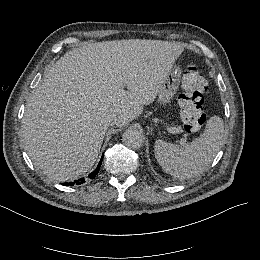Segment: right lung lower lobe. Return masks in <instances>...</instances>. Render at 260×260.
<instances>
[{
  "instance_id": "right-lung-lower-lobe-1",
  "label": "right lung lower lobe",
  "mask_w": 260,
  "mask_h": 260,
  "mask_svg": "<svg viewBox=\"0 0 260 260\" xmlns=\"http://www.w3.org/2000/svg\"><path fill=\"white\" fill-rule=\"evenodd\" d=\"M102 159H103V156H102V158H101V160H100V163L98 164L97 168L95 169V171H93L92 173L89 174V178H90V179H93V178L98 174L99 169H100V166H101V163H102ZM84 182H85L84 178H81V179H78V180H76V181H74V182H70V183L65 182V183H62V185L74 186V185H81V184H83Z\"/></svg>"
}]
</instances>
